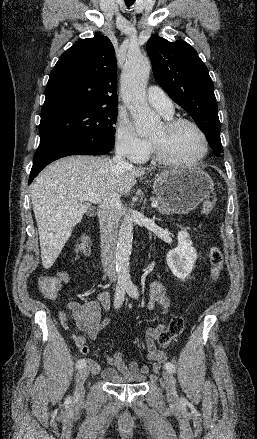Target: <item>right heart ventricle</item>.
Listing matches in <instances>:
<instances>
[{"mask_svg": "<svg viewBox=\"0 0 257 439\" xmlns=\"http://www.w3.org/2000/svg\"><path fill=\"white\" fill-rule=\"evenodd\" d=\"M168 119H170V117H167ZM151 149H152V147H151V144H150V151H151ZM150 151H149V153H150Z\"/></svg>", "mask_w": 257, "mask_h": 439, "instance_id": "e07e8e85", "label": "right heart ventricle"}]
</instances>
